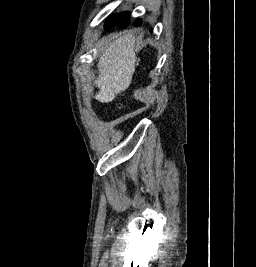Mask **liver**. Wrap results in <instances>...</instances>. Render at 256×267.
<instances>
[{"instance_id":"obj_1","label":"liver","mask_w":256,"mask_h":267,"mask_svg":"<svg viewBox=\"0 0 256 267\" xmlns=\"http://www.w3.org/2000/svg\"><path fill=\"white\" fill-rule=\"evenodd\" d=\"M134 46V34L125 32L104 48L97 64L99 78L95 84L99 92L94 96L95 100L103 104L113 102L118 94L129 88L137 62Z\"/></svg>"}]
</instances>
